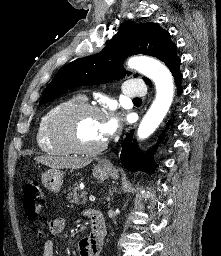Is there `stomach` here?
Segmentation results:
<instances>
[{
  "label": "stomach",
  "instance_id": "stomach-1",
  "mask_svg": "<svg viewBox=\"0 0 221 256\" xmlns=\"http://www.w3.org/2000/svg\"><path fill=\"white\" fill-rule=\"evenodd\" d=\"M114 171L113 168L97 165L93 169V176L98 180H105L108 175L114 173ZM63 177V171L59 169H50L42 175L41 182L49 191L58 192L63 184Z\"/></svg>",
  "mask_w": 221,
  "mask_h": 256
}]
</instances>
